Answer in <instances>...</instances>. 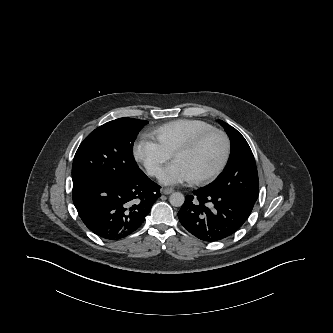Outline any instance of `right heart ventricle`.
Returning <instances> with one entry per match:
<instances>
[{
  "label": "right heart ventricle",
  "mask_w": 333,
  "mask_h": 333,
  "mask_svg": "<svg viewBox=\"0 0 333 333\" xmlns=\"http://www.w3.org/2000/svg\"><path fill=\"white\" fill-rule=\"evenodd\" d=\"M214 126L200 119H176L152 130L157 143L169 154L201 132Z\"/></svg>",
  "instance_id": "1"
}]
</instances>
